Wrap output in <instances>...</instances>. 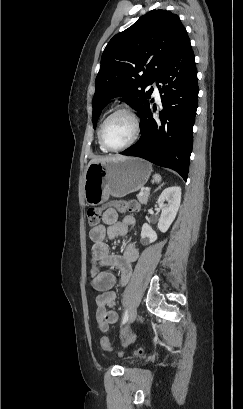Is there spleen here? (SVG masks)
<instances>
[{"label":"spleen","mask_w":243,"mask_h":409,"mask_svg":"<svg viewBox=\"0 0 243 409\" xmlns=\"http://www.w3.org/2000/svg\"><path fill=\"white\" fill-rule=\"evenodd\" d=\"M153 178H154V181L157 182V183H159L161 181V176L159 174H155L153 176Z\"/></svg>","instance_id":"spleen-1"}]
</instances>
